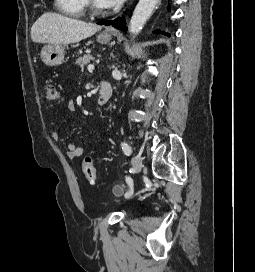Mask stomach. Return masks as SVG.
<instances>
[{"label":"stomach","mask_w":255,"mask_h":272,"mask_svg":"<svg viewBox=\"0 0 255 272\" xmlns=\"http://www.w3.org/2000/svg\"><path fill=\"white\" fill-rule=\"evenodd\" d=\"M112 35L106 32L99 33L97 35V41L101 44H107L111 41ZM65 47L62 44L59 45H47L41 49L40 58L47 66L54 67L62 64L64 61Z\"/></svg>","instance_id":"1"}]
</instances>
